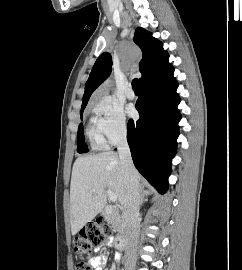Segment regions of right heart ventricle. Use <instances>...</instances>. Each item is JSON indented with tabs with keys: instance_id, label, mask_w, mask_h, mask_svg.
<instances>
[{
	"instance_id": "e07e8e85",
	"label": "right heart ventricle",
	"mask_w": 242,
	"mask_h": 270,
	"mask_svg": "<svg viewBox=\"0 0 242 270\" xmlns=\"http://www.w3.org/2000/svg\"><path fill=\"white\" fill-rule=\"evenodd\" d=\"M86 133L92 148L100 149L105 144L95 118L91 119Z\"/></svg>"
}]
</instances>
